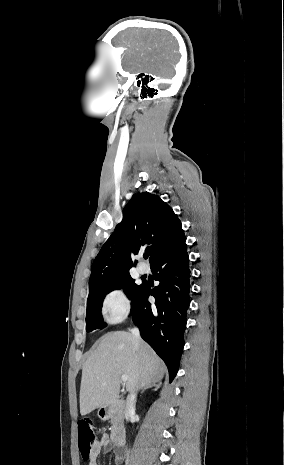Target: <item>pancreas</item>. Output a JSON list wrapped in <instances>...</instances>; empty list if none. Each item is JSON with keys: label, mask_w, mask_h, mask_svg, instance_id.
<instances>
[{"label": "pancreas", "mask_w": 284, "mask_h": 465, "mask_svg": "<svg viewBox=\"0 0 284 465\" xmlns=\"http://www.w3.org/2000/svg\"><path fill=\"white\" fill-rule=\"evenodd\" d=\"M111 423H112V425H114V423H115V415H111Z\"/></svg>", "instance_id": "pancreas-1"}]
</instances>
